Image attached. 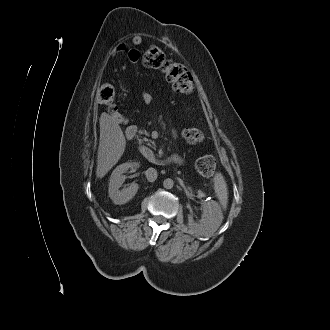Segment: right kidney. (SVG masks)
<instances>
[{
	"mask_svg": "<svg viewBox=\"0 0 330 330\" xmlns=\"http://www.w3.org/2000/svg\"><path fill=\"white\" fill-rule=\"evenodd\" d=\"M133 167L138 168L139 164L136 162H126L117 166L111 174L108 193L110 199L116 205H122L129 202L136 195L139 189V185L137 183H132L129 187L119 190L126 179L123 173H126L129 168Z\"/></svg>",
	"mask_w": 330,
	"mask_h": 330,
	"instance_id": "obj_1",
	"label": "right kidney"
}]
</instances>
